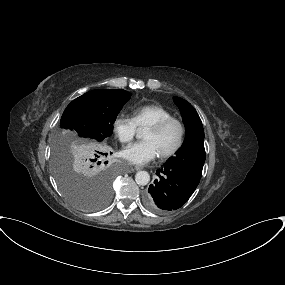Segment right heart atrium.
Instances as JSON below:
<instances>
[{"mask_svg":"<svg viewBox=\"0 0 285 285\" xmlns=\"http://www.w3.org/2000/svg\"><path fill=\"white\" fill-rule=\"evenodd\" d=\"M113 130L121 142L130 143L137 133V125L132 117L120 114L113 121Z\"/></svg>","mask_w":285,"mask_h":285,"instance_id":"1","label":"right heart atrium"}]
</instances>
